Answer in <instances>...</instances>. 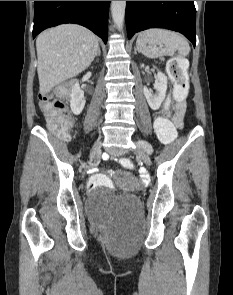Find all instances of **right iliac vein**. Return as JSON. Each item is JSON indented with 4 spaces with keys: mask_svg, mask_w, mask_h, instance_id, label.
Listing matches in <instances>:
<instances>
[{
    "mask_svg": "<svg viewBox=\"0 0 233 295\" xmlns=\"http://www.w3.org/2000/svg\"><path fill=\"white\" fill-rule=\"evenodd\" d=\"M100 152H101V141H97L90 152V156H89L90 160H93L94 158H96L100 154Z\"/></svg>",
    "mask_w": 233,
    "mask_h": 295,
    "instance_id": "63e3f726",
    "label": "right iliac vein"
}]
</instances>
